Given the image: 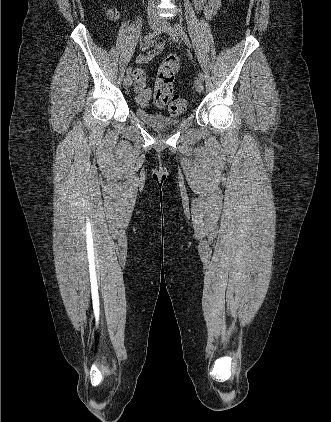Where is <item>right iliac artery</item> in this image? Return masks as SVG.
Returning a JSON list of instances; mask_svg holds the SVG:
<instances>
[{"label":"right iliac artery","mask_w":331,"mask_h":422,"mask_svg":"<svg viewBox=\"0 0 331 422\" xmlns=\"http://www.w3.org/2000/svg\"><path fill=\"white\" fill-rule=\"evenodd\" d=\"M161 33V29L160 28H156L153 32L149 33L148 35H146L144 37V42L150 41L152 38L158 36ZM132 71V67L129 66L127 68V74H130V72Z\"/></svg>","instance_id":"obj_1"}]
</instances>
